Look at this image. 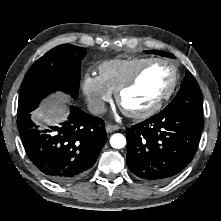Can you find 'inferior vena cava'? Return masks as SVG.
I'll return each mask as SVG.
<instances>
[{"mask_svg": "<svg viewBox=\"0 0 221 221\" xmlns=\"http://www.w3.org/2000/svg\"><path fill=\"white\" fill-rule=\"evenodd\" d=\"M88 110L94 115L103 114L106 111L105 103L103 101H94L88 104Z\"/></svg>", "mask_w": 221, "mask_h": 221, "instance_id": "inferior-vena-cava-1", "label": "inferior vena cava"}]
</instances>
